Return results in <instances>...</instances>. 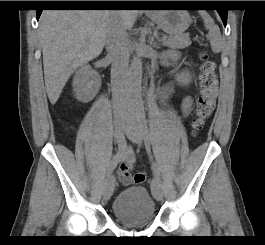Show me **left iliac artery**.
<instances>
[{"label":"left iliac artery","instance_id":"44dca946","mask_svg":"<svg viewBox=\"0 0 265 245\" xmlns=\"http://www.w3.org/2000/svg\"><path fill=\"white\" fill-rule=\"evenodd\" d=\"M136 118H137L139 125L141 127V131L145 137V141L148 142V144H152L153 140H152V136L150 134V131H149V128L147 125V119L145 116L143 104L137 105ZM152 169H153V173H154L155 178H157L160 181V179H161L160 171H159L158 165L155 162L152 165ZM151 187H153V180L151 181Z\"/></svg>","mask_w":265,"mask_h":245}]
</instances>
